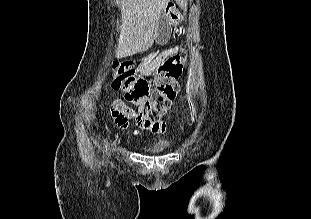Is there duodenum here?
Masks as SVG:
<instances>
[{
  "instance_id": "1",
  "label": "duodenum",
  "mask_w": 311,
  "mask_h": 219,
  "mask_svg": "<svg viewBox=\"0 0 311 219\" xmlns=\"http://www.w3.org/2000/svg\"><path fill=\"white\" fill-rule=\"evenodd\" d=\"M165 10L167 13H170L172 11V7L170 5H167Z\"/></svg>"
}]
</instances>
